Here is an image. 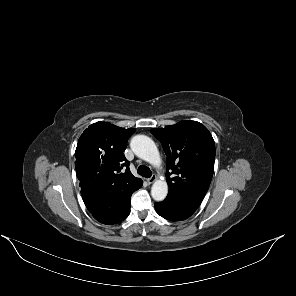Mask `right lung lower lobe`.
Masks as SVG:
<instances>
[{
  "instance_id": "right-lung-lower-lobe-1",
  "label": "right lung lower lobe",
  "mask_w": 296,
  "mask_h": 296,
  "mask_svg": "<svg viewBox=\"0 0 296 296\" xmlns=\"http://www.w3.org/2000/svg\"><path fill=\"white\" fill-rule=\"evenodd\" d=\"M141 186L142 183L130 190L110 193L81 190V194L87 209L97 221L113 225L128 217L131 195Z\"/></svg>"
}]
</instances>
